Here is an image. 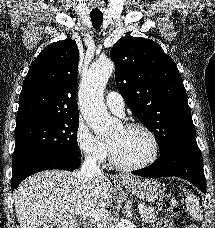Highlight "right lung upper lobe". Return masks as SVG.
<instances>
[{
  "label": "right lung upper lobe",
  "mask_w": 215,
  "mask_h": 228,
  "mask_svg": "<svg viewBox=\"0 0 215 228\" xmlns=\"http://www.w3.org/2000/svg\"><path fill=\"white\" fill-rule=\"evenodd\" d=\"M78 60V47L69 38L50 44L40 52L23 82L16 124L79 116Z\"/></svg>",
  "instance_id": "obj_1"
}]
</instances>
